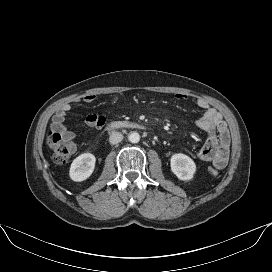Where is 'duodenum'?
Returning <instances> with one entry per match:
<instances>
[{
    "mask_svg": "<svg viewBox=\"0 0 272 272\" xmlns=\"http://www.w3.org/2000/svg\"><path fill=\"white\" fill-rule=\"evenodd\" d=\"M121 128H131V129H142L141 124L130 122V121H113L108 124L107 129L109 131L121 129Z\"/></svg>",
    "mask_w": 272,
    "mask_h": 272,
    "instance_id": "obj_1",
    "label": "duodenum"
}]
</instances>
